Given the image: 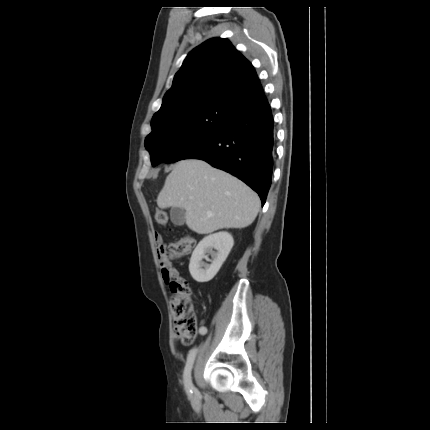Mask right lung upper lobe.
I'll return each mask as SVG.
<instances>
[{
    "mask_svg": "<svg viewBox=\"0 0 430 430\" xmlns=\"http://www.w3.org/2000/svg\"><path fill=\"white\" fill-rule=\"evenodd\" d=\"M260 91L251 63L228 39L211 38L187 55L152 123L204 102L218 101L229 108L245 106Z\"/></svg>",
    "mask_w": 430,
    "mask_h": 430,
    "instance_id": "right-lung-upper-lobe-1",
    "label": "right lung upper lobe"
}]
</instances>
